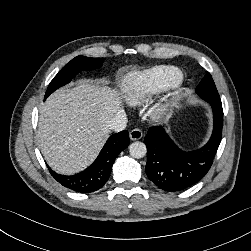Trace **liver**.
<instances>
[{"label":"liver","instance_id":"1","mask_svg":"<svg viewBox=\"0 0 251 251\" xmlns=\"http://www.w3.org/2000/svg\"><path fill=\"white\" fill-rule=\"evenodd\" d=\"M117 91L90 81L59 89L40 110L38 138L48 165L71 175L89 166L108 138V121L123 111Z\"/></svg>","mask_w":251,"mask_h":251}]
</instances>
